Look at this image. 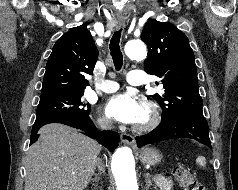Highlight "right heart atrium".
<instances>
[{
    "label": "right heart atrium",
    "mask_w": 238,
    "mask_h": 190,
    "mask_svg": "<svg viewBox=\"0 0 238 190\" xmlns=\"http://www.w3.org/2000/svg\"><path fill=\"white\" fill-rule=\"evenodd\" d=\"M98 124L100 127L104 128V129H108L111 127V121L109 118L103 116V115H100L98 117Z\"/></svg>",
    "instance_id": "d8ad5b80"
}]
</instances>
